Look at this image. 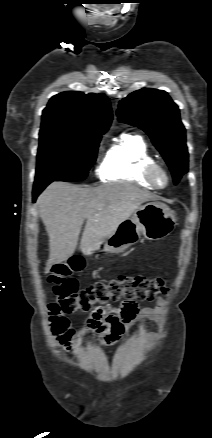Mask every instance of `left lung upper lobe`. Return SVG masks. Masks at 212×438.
I'll return each instance as SVG.
<instances>
[{"label": "left lung upper lobe", "instance_id": "obj_1", "mask_svg": "<svg viewBox=\"0 0 212 438\" xmlns=\"http://www.w3.org/2000/svg\"><path fill=\"white\" fill-rule=\"evenodd\" d=\"M117 116L150 136L177 184L188 172V151L178 106L167 92L147 88L135 91L119 102Z\"/></svg>", "mask_w": 212, "mask_h": 438}]
</instances>
